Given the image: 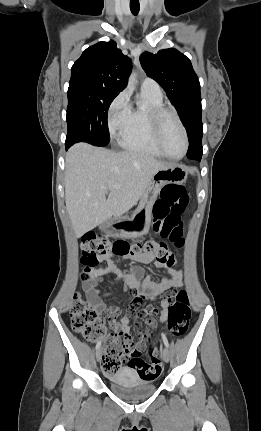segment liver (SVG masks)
<instances>
[{
	"instance_id": "6515ba94",
	"label": "liver",
	"mask_w": 261,
	"mask_h": 431,
	"mask_svg": "<svg viewBox=\"0 0 261 431\" xmlns=\"http://www.w3.org/2000/svg\"><path fill=\"white\" fill-rule=\"evenodd\" d=\"M168 166L143 153L72 146L66 155L65 202L76 236L128 212L153 176Z\"/></svg>"
}]
</instances>
